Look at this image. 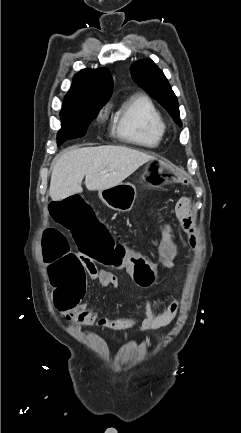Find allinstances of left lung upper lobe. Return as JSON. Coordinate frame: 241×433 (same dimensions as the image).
Listing matches in <instances>:
<instances>
[{
  "label": "left lung upper lobe",
  "mask_w": 241,
  "mask_h": 433,
  "mask_svg": "<svg viewBox=\"0 0 241 433\" xmlns=\"http://www.w3.org/2000/svg\"><path fill=\"white\" fill-rule=\"evenodd\" d=\"M133 79L147 93L156 99L182 126L177 98L172 91L163 72L151 59H143L133 63L130 67Z\"/></svg>",
  "instance_id": "left-lung-upper-lobe-1"
}]
</instances>
